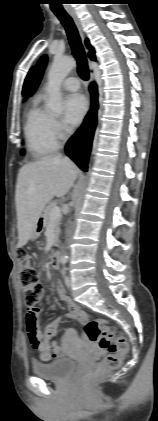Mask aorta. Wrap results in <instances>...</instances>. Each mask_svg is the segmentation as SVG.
Instances as JSON below:
<instances>
[{"label":"aorta","instance_id":"aorta-1","mask_svg":"<svg viewBox=\"0 0 158 421\" xmlns=\"http://www.w3.org/2000/svg\"><path fill=\"white\" fill-rule=\"evenodd\" d=\"M74 67H76V61L72 58H55L50 66L46 87L49 95L47 106L55 113L61 112L62 108L61 84ZM67 258V255L62 256L63 261Z\"/></svg>","mask_w":158,"mask_h":421}]
</instances>
